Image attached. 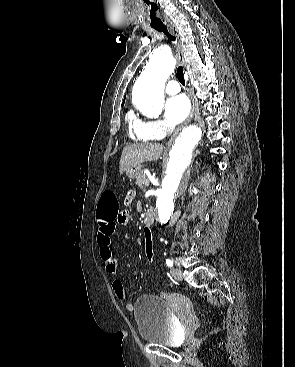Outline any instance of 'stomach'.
<instances>
[{"label":"stomach","instance_id":"obj_1","mask_svg":"<svg viewBox=\"0 0 295 367\" xmlns=\"http://www.w3.org/2000/svg\"><path fill=\"white\" fill-rule=\"evenodd\" d=\"M141 173H142L141 165L132 166L126 170L127 176L131 179L137 178Z\"/></svg>","mask_w":295,"mask_h":367}]
</instances>
